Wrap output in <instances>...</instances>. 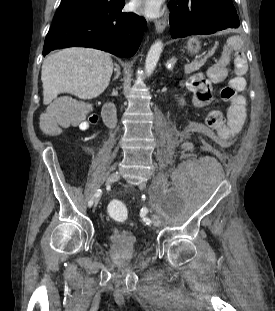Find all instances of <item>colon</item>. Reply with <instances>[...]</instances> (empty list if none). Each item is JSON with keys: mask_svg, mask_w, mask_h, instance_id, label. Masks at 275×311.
<instances>
[{"mask_svg": "<svg viewBox=\"0 0 275 311\" xmlns=\"http://www.w3.org/2000/svg\"><path fill=\"white\" fill-rule=\"evenodd\" d=\"M234 63L236 76L223 87L220 93V98L224 102L233 101L246 86L244 74L247 64L245 57H235ZM80 121V116L73 111V102L60 100L51 104L47 112L41 117V127L44 132L54 134L59 127L77 124ZM108 211L114 218L124 219L127 216V208L120 201H111L108 204Z\"/></svg>", "mask_w": 275, "mask_h": 311, "instance_id": "5ec220e1", "label": "colon"}]
</instances>
